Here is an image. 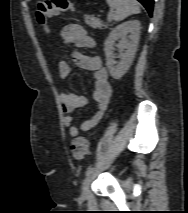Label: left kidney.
<instances>
[{
  "label": "left kidney",
  "instance_id": "1",
  "mask_svg": "<svg viewBox=\"0 0 188 213\" xmlns=\"http://www.w3.org/2000/svg\"><path fill=\"white\" fill-rule=\"evenodd\" d=\"M140 29L138 20H130L116 26L109 33L104 43V51L106 66L114 79H120L132 65L140 39ZM117 40H120L117 46L120 49L119 58L121 59L118 65H116L115 55L113 54Z\"/></svg>",
  "mask_w": 188,
  "mask_h": 213
}]
</instances>
